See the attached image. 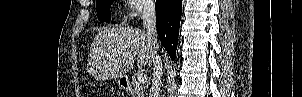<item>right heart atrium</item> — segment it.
Masks as SVG:
<instances>
[{
	"label": "right heart atrium",
	"mask_w": 302,
	"mask_h": 97,
	"mask_svg": "<svg viewBox=\"0 0 302 97\" xmlns=\"http://www.w3.org/2000/svg\"><path fill=\"white\" fill-rule=\"evenodd\" d=\"M129 2L130 6L125 16L130 21H135L153 10V5L150 1L130 0Z\"/></svg>",
	"instance_id": "obj_1"
}]
</instances>
